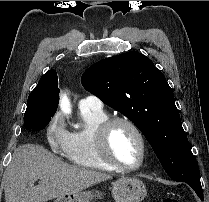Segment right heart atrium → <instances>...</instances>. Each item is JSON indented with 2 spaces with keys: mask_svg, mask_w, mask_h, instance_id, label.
Here are the masks:
<instances>
[{
  "mask_svg": "<svg viewBox=\"0 0 209 202\" xmlns=\"http://www.w3.org/2000/svg\"><path fill=\"white\" fill-rule=\"evenodd\" d=\"M44 135L55 152L61 153L65 151L68 145L69 132L58 114H54L49 118L45 125Z\"/></svg>",
  "mask_w": 209,
  "mask_h": 202,
  "instance_id": "obj_1",
  "label": "right heart atrium"
}]
</instances>
